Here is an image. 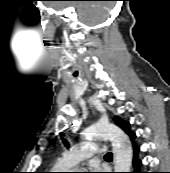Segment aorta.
<instances>
[{
    "label": "aorta",
    "mask_w": 170,
    "mask_h": 173,
    "mask_svg": "<svg viewBox=\"0 0 170 173\" xmlns=\"http://www.w3.org/2000/svg\"><path fill=\"white\" fill-rule=\"evenodd\" d=\"M86 138H103L112 142L115 172H129L132 163V147L127 135L110 123H97L85 130Z\"/></svg>",
    "instance_id": "1"
}]
</instances>
